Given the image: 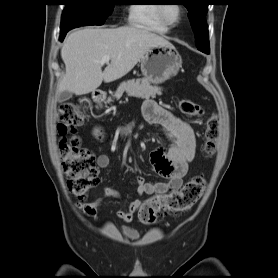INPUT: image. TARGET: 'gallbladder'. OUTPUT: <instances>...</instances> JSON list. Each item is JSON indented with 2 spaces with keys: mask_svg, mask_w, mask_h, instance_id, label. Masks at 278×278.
I'll return each mask as SVG.
<instances>
[{
  "mask_svg": "<svg viewBox=\"0 0 278 278\" xmlns=\"http://www.w3.org/2000/svg\"><path fill=\"white\" fill-rule=\"evenodd\" d=\"M72 95L73 94L71 92H69V91H63V92L58 94L57 100H58L59 103H62L64 101H67L70 98H72Z\"/></svg>",
  "mask_w": 278,
  "mask_h": 278,
  "instance_id": "bac80fb5",
  "label": "gallbladder"
}]
</instances>
